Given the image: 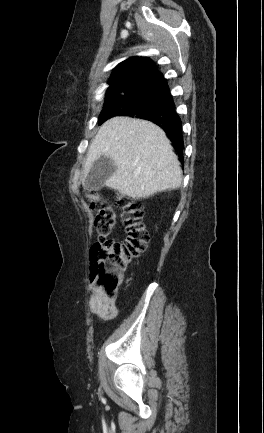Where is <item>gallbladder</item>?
I'll return each instance as SVG.
<instances>
[{
  "label": "gallbladder",
  "instance_id": "1",
  "mask_svg": "<svg viewBox=\"0 0 264 433\" xmlns=\"http://www.w3.org/2000/svg\"><path fill=\"white\" fill-rule=\"evenodd\" d=\"M116 171L114 161L106 156H101L93 164L89 175L84 179L83 186L87 190H99L104 187L106 181Z\"/></svg>",
  "mask_w": 264,
  "mask_h": 433
}]
</instances>
